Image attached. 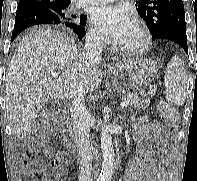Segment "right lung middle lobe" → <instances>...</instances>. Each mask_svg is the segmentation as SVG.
Listing matches in <instances>:
<instances>
[{
    "mask_svg": "<svg viewBox=\"0 0 197 181\" xmlns=\"http://www.w3.org/2000/svg\"><path fill=\"white\" fill-rule=\"evenodd\" d=\"M44 6H46L48 9H50L55 15H57L62 21H68V22H74V23H78L81 25H85L86 24V16L81 15L80 16V21L78 20H74V18H76V16H69L68 14H66V8L69 5H54V4H44Z\"/></svg>",
    "mask_w": 197,
    "mask_h": 181,
    "instance_id": "right-lung-middle-lobe-1",
    "label": "right lung middle lobe"
}]
</instances>
